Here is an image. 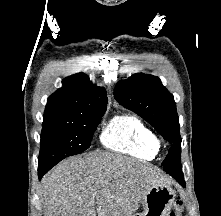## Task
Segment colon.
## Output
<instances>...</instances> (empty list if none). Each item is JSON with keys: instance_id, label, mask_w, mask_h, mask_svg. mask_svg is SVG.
<instances>
[{"instance_id": "1", "label": "colon", "mask_w": 221, "mask_h": 216, "mask_svg": "<svg viewBox=\"0 0 221 216\" xmlns=\"http://www.w3.org/2000/svg\"><path fill=\"white\" fill-rule=\"evenodd\" d=\"M183 202L181 199L176 200L174 204V210L170 213L169 216H182Z\"/></svg>"}]
</instances>
